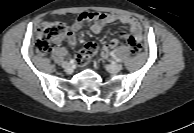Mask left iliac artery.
<instances>
[{"mask_svg":"<svg viewBox=\"0 0 194 133\" xmlns=\"http://www.w3.org/2000/svg\"><path fill=\"white\" fill-rule=\"evenodd\" d=\"M115 61H119V59L116 56H113Z\"/></svg>","mask_w":194,"mask_h":133,"instance_id":"left-iliac-artery-1","label":"left iliac artery"}]
</instances>
